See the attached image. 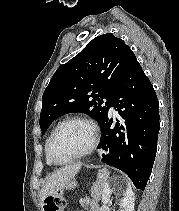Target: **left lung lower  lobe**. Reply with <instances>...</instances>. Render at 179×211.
<instances>
[{
  "mask_svg": "<svg viewBox=\"0 0 179 211\" xmlns=\"http://www.w3.org/2000/svg\"><path fill=\"white\" fill-rule=\"evenodd\" d=\"M111 106L123 120L120 124L116 119L115 127L111 128L113 120L107 115L101 125L98 148L107 151L102 162L125 172L137 189L144 190L157 151L159 103L135 55L112 93Z\"/></svg>",
  "mask_w": 179,
  "mask_h": 211,
  "instance_id": "1",
  "label": "left lung lower lobe"
}]
</instances>
